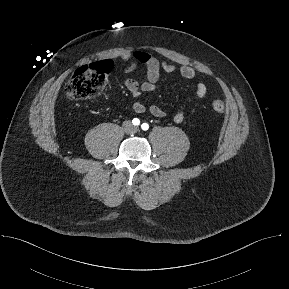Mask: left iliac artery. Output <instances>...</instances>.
Instances as JSON below:
<instances>
[{
  "label": "left iliac artery",
  "instance_id": "44dca946",
  "mask_svg": "<svg viewBox=\"0 0 289 289\" xmlns=\"http://www.w3.org/2000/svg\"><path fill=\"white\" fill-rule=\"evenodd\" d=\"M141 128H142V130L146 131V130H148L149 125H148L147 123H143V124L141 125Z\"/></svg>",
  "mask_w": 289,
  "mask_h": 289
}]
</instances>
